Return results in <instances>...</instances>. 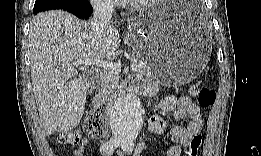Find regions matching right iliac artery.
Here are the masks:
<instances>
[{"mask_svg":"<svg viewBox=\"0 0 261 156\" xmlns=\"http://www.w3.org/2000/svg\"><path fill=\"white\" fill-rule=\"evenodd\" d=\"M119 144H120V140L119 139L112 138L109 141L103 143V145L101 146L100 151L103 154L112 155L114 150L119 146Z\"/></svg>","mask_w":261,"mask_h":156,"instance_id":"right-iliac-artery-1","label":"right iliac artery"}]
</instances>
